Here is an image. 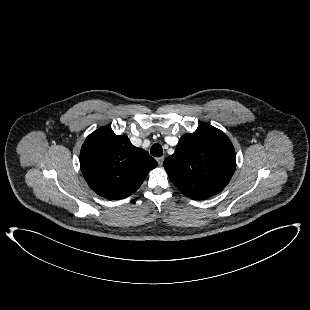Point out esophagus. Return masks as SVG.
<instances>
[{
    "label": "esophagus",
    "instance_id": "34e87169",
    "mask_svg": "<svg viewBox=\"0 0 310 310\" xmlns=\"http://www.w3.org/2000/svg\"><path fill=\"white\" fill-rule=\"evenodd\" d=\"M164 157L157 158L158 164L161 166L163 164Z\"/></svg>",
    "mask_w": 310,
    "mask_h": 310
}]
</instances>
